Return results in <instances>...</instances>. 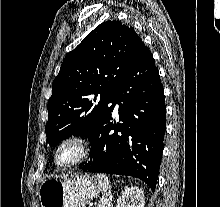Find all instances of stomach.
<instances>
[{
	"instance_id": "1",
	"label": "stomach",
	"mask_w": 220,
	"mask_h": 207,
	"mask_svg": "<svg viewBox=\"0 0 220 207\" xmlns=\"http://www.w3.org/2000/svg\"><path fill=\"white\" fill-rule=\"evenodd\" d=\"M101 190L99 181L90 174L73 173L49 178L39 187L41 207H85Z\"/></svg>"
}]
</instances>
